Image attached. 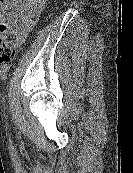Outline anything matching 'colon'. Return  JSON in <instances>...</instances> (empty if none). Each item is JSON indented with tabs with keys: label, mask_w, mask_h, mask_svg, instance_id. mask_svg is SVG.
I'll return each mask as SVG.
<instances>
[{
	"label": "colon",
	"mask_w": 133,
	"mask_h": 173,
	"mask_svg": "<svg viewBox=\"0 0 133 173\" xmlns=\"http://www.w3.org/2000/svg\"><path fill=\"white\" fill-rule=\"evenodd\" d=\"M16 38L8 34L7 26L0 23V63H9L16 56Z\"/></svg>",
	"instance_id": "colon-1"
}]
</instances>
